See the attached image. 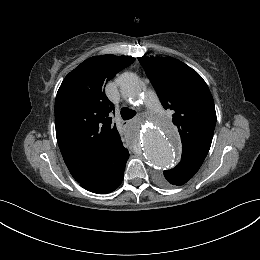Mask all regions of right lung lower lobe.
Returning a JSON list of instances; mask_svg holds the SVG:
<instances>
[{
	"mask_svg": "<svg viewBox=\"0 0 260 260\" xmlns=\"http://www.w3.org/2000/svg\"><path fill=\"white\" fill-rule=\"evenodd\" d=\"M128 158L129 153H127L111 168H107L100 174L80 182V185L86 190L98 194H106L114 191L119 187L123 180L124 170Z\"/></svg>",
	"mask_w": 260,
	"mask_h": 260,
	"instance_id": "98d812e1",
	"label": "right lung lower lobe"
}]
</instances>
